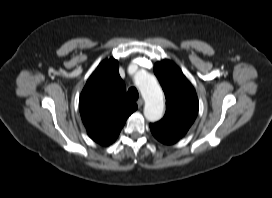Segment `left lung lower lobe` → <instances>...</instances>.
Returning a JSON list of instances; mask_svg holds the SVG:
<instances>
[{
	"label": "left lung lower lobe",
	"instance_id": "obj_1",
	"mask_svg": "<svg viewBox=\"0 0 272 198\" xmlns=\"http://www.w3.org/2000/svg\"><path fill=\"white\" fill-rule=\"evenodd\" d=\"M150 129L154 137L164 144L176 143L181 138L175 134L169 133L155 126L154 124H150Z\"/></svg>",
	"mask_w": 272,
	"mask_h": 198
}]
</instances>
